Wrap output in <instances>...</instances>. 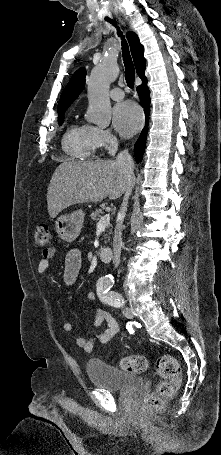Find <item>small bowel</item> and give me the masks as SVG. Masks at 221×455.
<instances>
[{"instance_id":"1","label":"small bowel","mask_w":221,"mask_h":455,"mask_svg":"<svg viewBox=\"0 0 221 455\" xmlns=\"http://www.w3.org/2000/svg\"><path fill=\"white\" fill-rule=\"evenodd\" d=\"M56 249L50 247L45 249L41 253V258L38 261L36 272L38 275H43L49 265V260L55 255ZM82 267V255L79 250H71L65 258L64 266V281L67 285H72L77 279L79 272ZM87 297L90 301L96 299L94 292L90 291L87 294ZM103 323L107 325L106 329L97 333L93 338L86 339L84 337H79L76 340L78 347L82 348L86 352H92L97 344L108 343L119 331V325L115 318L103 308H96L95 310V320L94 327L99 328ZM63 330L65 332H71L73 330V325L70 322H65L63 324Z\"/></svg>"}]
</instances>
